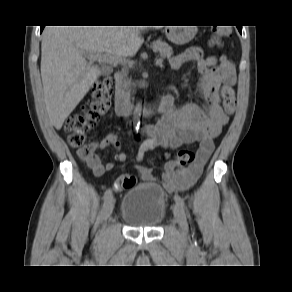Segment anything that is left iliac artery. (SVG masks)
Instances as JSON below:
<instances>
[{
	"label": "left iliac artery",
	"mask_w": 292,
	"mask_h": 292,
	"mask_svg": "<svg viewBox=\"0 0 292 292\" xmlns=\"http://www.w3.org/2000/svg\"><path fill=\"white\" fill-rule=\"evenodd\" d=\"M174 200H175L177 205H179L182 209H185L184 200L180 196H175Z\"/></svg>",
	"instance_id": "1"
}]
</instances>
